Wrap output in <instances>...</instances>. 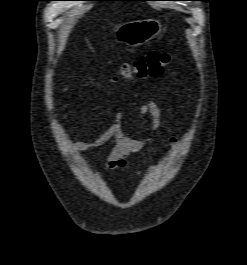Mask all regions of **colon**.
I'll return each instance as SVG.
<instances>
[{"label": "colon", "mask_w": 247, "mask_h": 265, "mask_svg": "<svg viewBox=\"0 0 247 265\" xmlns=\"http://www.w3.org/2000/svg\"><path fill=\"white\" fill-rule=\"evenodd\" d=\"M171 61L167 53L151 51L142 57L122 64L119 73L113 77L112 81L117 82L120 79H140L154 78L161 76Z\"/></svg>", "instance_id": "obj_1"}]
</instances>
